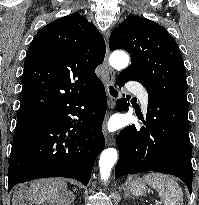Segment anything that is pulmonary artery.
Returning a JSON list of instances; mask_svg holds the SVG:
<instances>
[{
	"mask_svg": "<svg viewBox=\"0 0 199 205\" xmlns=\"http://www.w3.org/2000/svg\"><path fill=\"white\" fill-rule=\"evenodd\" d=\"M129 89L138 96L142 109L146 111L148 106V94L145 89L135 86H130Z\"/></svg>",
	"mask_w": 199,
	"mask_h": 205,
	"instance_id": "obj_1",
	"label": "pulmonary artery"
}]
</instances>
